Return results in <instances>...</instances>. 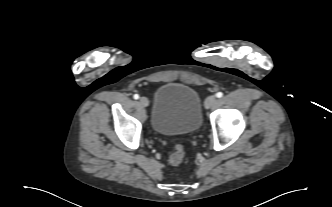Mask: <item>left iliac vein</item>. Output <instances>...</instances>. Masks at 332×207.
<instances>
[{
  "mask_svg": "<svg viewBox=\"0 0 332 207\" xmlns=\"http://www.w3.org/2000/svg\"><path fill=\"white\" fill-rule=\"evenodd\" d=\"M216 101H217V99L214 95L207 97L205 100V104H204L205 108L209 109V108L213 107L215 105Z\"/></svg>",
  "mask_w": 332,
  "mask_h": 207,
  "instance_id": "4c4485c4",
  "label": "left iliac vein"
}]
</instances>
